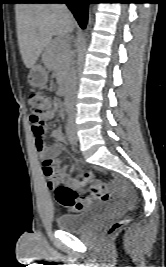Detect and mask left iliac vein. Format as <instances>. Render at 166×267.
<instances>
[{
    "label": "left iliac vein",
    "instance_id": "1",
    "mask_svg": "<svg viewBox=\"0 0 166 267\" xmlns=\"http://www.w3.org/2000/svg\"><path fill=\"white\" fill-rule=\"evenodd\" d=\"M72 128H73L74 138H75V140H77V137H76V134H75V127H74V125H72Z\"/></svg>",
    "mask_w": 166,
    "mask_h": 267
}]
</instances>
